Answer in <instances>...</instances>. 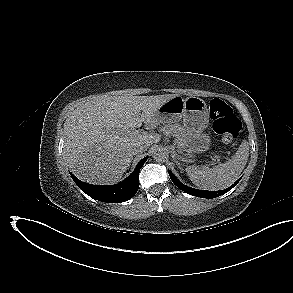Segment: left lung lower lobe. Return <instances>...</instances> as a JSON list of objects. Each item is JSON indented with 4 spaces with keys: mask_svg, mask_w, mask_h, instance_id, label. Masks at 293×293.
Masks as SVG:
<instances>
[{
    "mask_svg": "<svg viewBox=\"0 0 293 293\" xmlns=\"http://www.w3.org/2000/svg\"><path fill=\"white\" fill-rule=\"evenodd\" d=\"M169 172V176L172 180V182L181 190H183L184 192L196 196V197H201V198H215L218 196H221L223 194H225L226 192H228L229 190H231L240 180V178L230 187H228L227 189L224 190H220V191H206V190H197V189H193L190 188L184 184H182L175 176L173 173Z\"/></svg>",
    "mask_w": 293,
    "mask_h": 293,
    "instance_id": "obj_1",
    "label": "left lung lower lobe"
}]
</instances>
